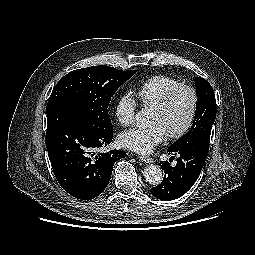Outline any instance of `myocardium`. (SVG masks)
Segmentation results:
<instances>
[{"label":"myocardium","instance_id":"obj_1","mask_svg":"<svg viewBox=\"0 0 255 255\" xmlns=\"http://www.w3.org/2000/svg\"><path fill=\"white\" fill-rule=\"evenodd\" d=\"M180 91H187V92L190 93V95L192 97V107H191L190 114H189L185 124L176 132L166 133V136L170 140H177V139L182 138L184 135H186L189 132V130L193 126L194 121H195L196 116H197L198 107H199L198 92L194 87H192L190 85L180 84V85L172 88L171 90H169L161 98V100L156 105L153 106V109H155L159 112H164L168 108V106L170 105V103L173 100V98L175 97V95L177 93H179Z\"/></svg>","mask_w":255,"mask_h":255}]
</instances>
